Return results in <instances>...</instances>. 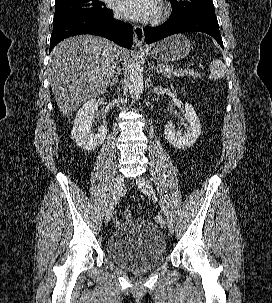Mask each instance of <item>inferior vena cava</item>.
<instances>
[{
	"mask_svg": "<svg viewBox=\"0 0 272 303\" xmlns=\"http://www.w3.org/2000/svg\"><path fill=\"white\" fill-rule=\"evenodd\" d=\"M116 75H120V68L119 67L116 70Z\"/></svg>",
	"mask_w": 272,
	"mask_h": 303,
	"instance_id": "obj_1",
	"label": "inferior vena cava"
}]
</instances>
